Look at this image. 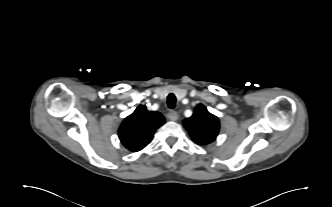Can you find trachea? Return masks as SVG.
I'll list each match as a JSON object with an SVG mask.
<instances>
[{"mask_svg": "<svg viewBox=\"0 0 332 207\" xmlns=\"http://www.w3.org/2000/svg\"><path fill=\"white\" fill-rule=\"evenodd\" d=\"M167 105L170 109H173L176 105V97L174 94H169L167 97Z\"/></svg>", "mask_w": 332, "mask_h": 207, "instance_id": "obj_1", "label": "trachea"}]
</instances>
